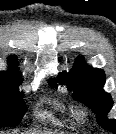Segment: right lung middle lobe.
I'll return each instance as SVG.
<instances>
[{"instance_id": "right-lung-middle-lobe-1", "label": "right lung middle lobe", "mask_w": 116, "mask_h": 134, "mask_svg": "<svg viewBox=\"0 0 116 134\" xmlns=\"http://www.w3.org/2000/svg\"><path fill=\"white\" fill-rule=\"evenodd\" d=\"M23 93L0 92V127H14L20 124L27 107L22 100Z\"/></svg>"}]
</instances>
